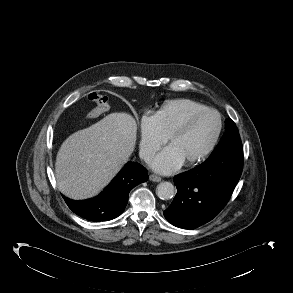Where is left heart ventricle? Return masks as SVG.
<instances>
[{
	"label": "left heart ventricle",
	"mask_w": 293,
	"mask_h": 293,
	"mask_svg": "<svg viewBox=\"0 0 293 293\" xmlns=\"http://www.w3.org/2000/svg\"><path fill=\"white\" fill-rule=\"evenodd\" d=\"M218 127L214 114H205L196 119L182 135L170 141L171 146L187 162L199 155L211 142Z\"/></svg>",
	"instance_id": "b2bd125f"
}]
</instances>
